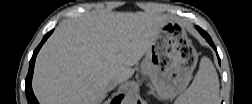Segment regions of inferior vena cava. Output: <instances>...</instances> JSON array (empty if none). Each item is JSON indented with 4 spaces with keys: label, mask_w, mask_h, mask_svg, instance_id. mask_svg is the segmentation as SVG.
<instances>
[{
    "label": "inferior vena cava",
    "mask_w": 252,
    "mask_h": 104,
    "mask_svg": "<svg viewBox=\"0 0 252 104\" xmlns=\"http://www.w3.org/2000/svg\"><path fill=\"white\" fill-rule=\"evenodd\" d=\"M121 78H113L108 82V88L109 90L114 89L115 87H117L118 84L121 83Z\"/></svg>",
    "instance_id": "1"
}]
</instances>
